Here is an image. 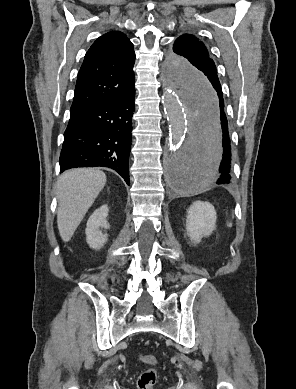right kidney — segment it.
I'll return each instance as SVG.
<instances>
[{
	"label": "right kidney",
	"instance_id": "right-kidney-1",
	"mask_svg": "<svg viewBox=\"0 0 296 389\" xmlns=\"http://www.w3.org/2000/svg\"><path fill=\"white\" fill-rule=\"evenodd\" d=\"M108 216V206L103 205L96 209L87 221L86 241L90 248L100 249L108 240V234L102 233V229H109L110 225L106 218Z\"/></svg>",
	"mask_w": 296,
	"mask_h": 389
}]
</instances>
